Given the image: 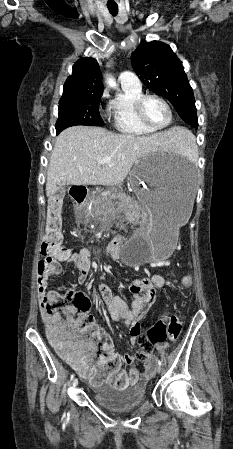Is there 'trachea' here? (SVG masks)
<instances>
[{"mask_svg": "<svg viewBox=\"0 0 233 449\" xmlns=\"http://www.w3.org/2000/svg\"><path fill=\"white\" fill-rule=\"evenodd\" d=\"M108 10L113 16H116L118 14L117 6H108Z\"/></svg>", "mask_w": 233, "mask_h": 449, "instance_id": "obj_1", "label": "trachea"}]
</instances>
